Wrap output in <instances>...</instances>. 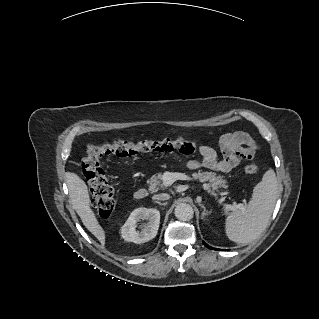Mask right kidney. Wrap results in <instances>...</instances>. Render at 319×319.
<instances>
[{
  "label": "right kidney",
  "instance_id": "1",
  "mask_svg": "<svg viewBox=\"0 0 319 319\" xmlns=\"http://www.w3.org/2000/svg\"><path fill=\"white\" fill-rule=\"evenodd\" d=\"M141 220H148L140 224ZM139 225L141 229L136 230ZM160 224V212L157 209L137 208L130 214L125 224L121 227V236L130 242L137 244L152 240L158 232Z\"/></svg>",
  "mask_w": 319,
  "mask_h": 319
}]
</instances>
